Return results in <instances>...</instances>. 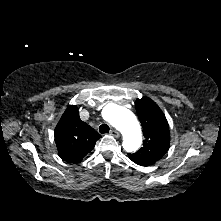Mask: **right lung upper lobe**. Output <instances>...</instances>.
Wrapping results in <instances>:
<instances>
[{
    "label": "right lung upper lobe",
    "instance_id": "obj_1",
    "mask_svg": "<svg viewBox=\"0 0 221 221\" xmlns=\"http://www.w3.org/2000/svg\"><path fill=\"white\" fill-rule=\"evenodd\" d=\"M54 136L59 157L70 163L80 162L101 138L100 134L81 121L76 105L69 106L64 112Z\"/></svg>",
    "mask_w": 221,
    "mask_h": 221
}]
</instances>
